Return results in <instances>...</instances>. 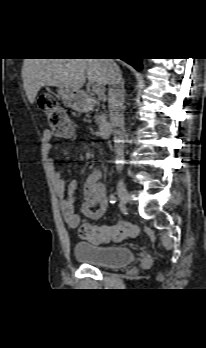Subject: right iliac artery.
Wrapping results in <instances>:
<instances>
[{"instance_id":"1","label":"right iliac artery","mask_w":206,"mask_h":348,"mask_svg":"<svg viewBox=\"0 0 206 348\" xmlns=\"http://www.w3.org/2000/svg\"><path fill=\"white\" fill-rule=\"evenodd\" d=\"M117 201V198L115 195H110V202L115 203Z\"/></svg>"}]
</instances>
